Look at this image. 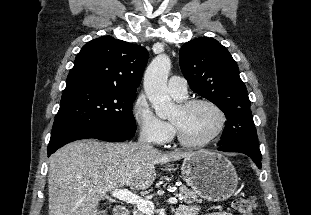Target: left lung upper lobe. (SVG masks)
<instances>
[{"label":"left lung upper lobe","instance_id":"obj_1","mask_svg":"<svg viewBox=\"0 0 311 215\" xmlns=\"http://www.w3.org/2000/svg\"><path fill=\"white\" fill-rule=\"evenodd\" d=\"M179 57L191 89L225 113L227 121L219 145L258 146L247 89L229 51L213 38L200 37L185 43Z\"/></svg>","mask_w":311,"mask_h":215}]
</instances>
